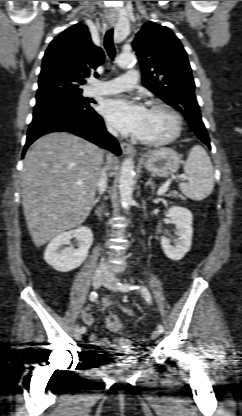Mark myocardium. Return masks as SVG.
<instances>
[{
	"instance_id": "1",
	"label": "myocardium",
	"mask_w": 242,
	"mask_h": 416,
	"mask_svg": "<svg viewBox=\"0 0 242 416\" xmlns=\"http://www.w3.org/2000/svg\"><path fill=\"white\" fill-rule=\"evenodd\" d=\"M149 109H162L168 112L173 119L172 131L166 137L158 140H145L139 137H135V140L140 144L149 147H158L174 141L180 135L182 130V118L179 112L172 105L163 101H152L149 104Z\"/></svg>"
}]
</instances>
